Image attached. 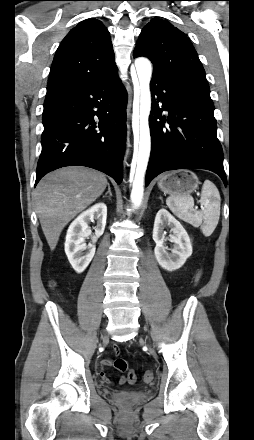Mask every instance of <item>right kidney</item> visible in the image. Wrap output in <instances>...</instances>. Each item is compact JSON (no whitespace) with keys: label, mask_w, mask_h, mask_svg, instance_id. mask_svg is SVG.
Listing matches in <instances>:
<instances>
[{"label":"right kidney","mask_w":254,"mask_h":440,"mask_svg":"<svg viewBox=\"0 0 254 440\" xmlns=\"http://www.w3.org/2000/svg\"><path fill=\"white\" fill-rule=\"evenodd\" d=\"M107 206L104 203H97L81 213L69 226L66 241L65 253L70 264L77 273H82L95 254V245H86L84 238L91 236L92 232L88 226L90 221H97L95 236L92 242L95 243L103 233L106 225ZM88 249L87 252L83 253Z\"/></svg>","instance_id":"1"}]
</instances>
